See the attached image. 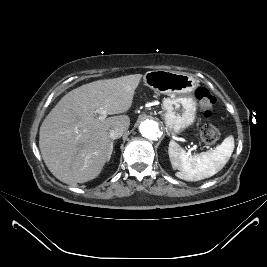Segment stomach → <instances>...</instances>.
Masks as SVG:
<instances>
[{
  "instance_id": "stomach-1",
  "label": "stomach",
  "mask_w": 267,
  "mask_h": 267,
  "mask_svg": "<svg viewBox=\"0 0 267 267\" xmlns=\"http://www.w3.org/2000/svg\"><path fill=\"white\" fill-rule=\"evenodd\" d=\"M147 86L165 94L163 99V119L173 135L181 134L196 120L197 102L192 93L198 81L187 73L155 70L146 73Z\"/></svg>"
}]
</instances>
